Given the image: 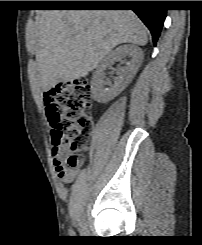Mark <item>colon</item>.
<instances>
[{"mask_svg": "<svg viewBox=\"0 0 202 245\" xmlns=\"http://www.w3.org/2000/svg\"><path fill=\"white\" fill-rule=\"evenodd\" d=\"M91 99V88L86 80L65 82L59 86L51 118V143L57 146L69 140L64 148L69 167L79 165L81 152L91 133Z\"/></svg>", "mask_w": 202, "mask_h": 245, "instance_id": "1", "label": "colon"}]
</instances>
